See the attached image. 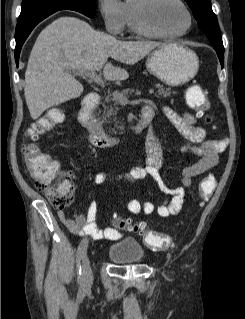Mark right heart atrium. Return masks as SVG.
I'll return each instance as SVG.
<instances>
[{"instance_id": "1", "label": "right heart atrium", "mask_w": 245, "mask_h": 319, "mask_svg": "<svg viewBox=\"0 0 245 319\" xmlns=\"http://www.w3.org/2000/svg\"><path fill=\"white\" fill-rule=\"evenodd\" d=\"M99 12L106 30L120 35L125 28L124 3L121 0H98Z\"/></svg>"}]
</instances>
